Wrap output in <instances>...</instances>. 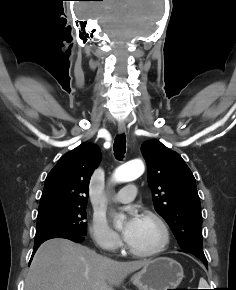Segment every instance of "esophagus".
<instances>
[{
	"label": "esophagus",
	"mask_w": 236,
	"mask_h": 290,
	"mask_svg": "<svg viewBox=\"0 0 236 290\" xmlns=\"http://www.w3.org/2000/svg\"><path fill=\"white\" fill-rule=\"evenodd\" d=\"M118 132L120 134H123L126 132V126H125V123L124 122H119L118 123Z\"/></svg>",
	"instance_id": "obj_1"
}]
</instances>
